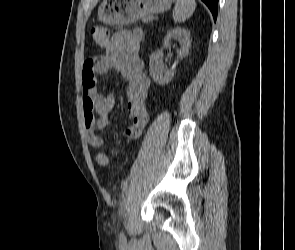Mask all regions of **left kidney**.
Instances as JSON below:
<instances>
[{"label":"left kidney","mask_w":295,"mask_h":250,"mask_svg":"<svg viewBox=\"0 0 295 250\" xmlns=\"http://www.w3.org/2000/svg\"><path fill=\"white\" fill-rule=\"evenodd\" d=\"M176 39L181 42V49L178 51L180 58H185L189 53L191 45L190 31L177 27L167 32L163 46H168ZM149 72L153 80L159 85L168 84L174 77L175 69L167 70L163 64V49H159L150 56Z\"/></svg>","instance_id":"5707ae66"}]
</instances>
